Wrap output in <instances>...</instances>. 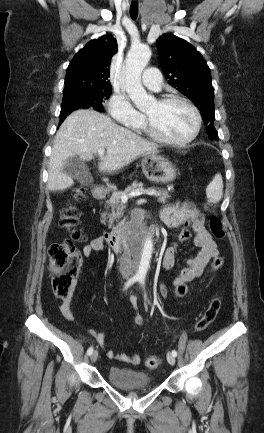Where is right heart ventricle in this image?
I'll list each match as a JSON object with an SVG mask.
<instances>
[{"mask_svg": "<svg viewBox=\"0 0 264 433\" xmlns=\"http://www.w3.org/2000/svg\"><path fill=\"white\" fill-rule=\"evenodd\" d=\"M136 130L139 131V132H146L147 131L144 124L136 127Z\"/></svg>", "mask_w": 264, "mask_h": 433, "instance_id": "right-heart-ventricle-1", "label": "right heart ventricle"}]
</instances>
